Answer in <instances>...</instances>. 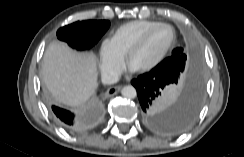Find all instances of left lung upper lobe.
<instances>
[{
    "label": "left lung upper lobe",
    "mask_w": 244,
    "mask_h": 157,
    "mask_svg": "<svg viewBox=\"0 0 244 157\" xmlns=\"http://www.w3.org/2000/svg\"><path fill=\"white\" fill-rule=\"evenodd\" d=\"M186 66L187 56L183 53L182 48H177L173 50L170 57L164 59L153 69L162 71L166 74L177 75L179 77Z\"/></svg>",
    "instance_id": "obj_1"
}]
</instances>
